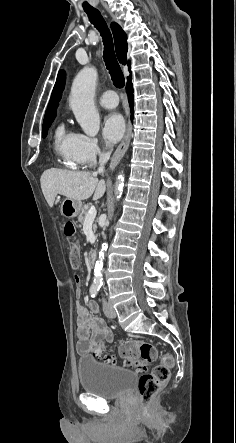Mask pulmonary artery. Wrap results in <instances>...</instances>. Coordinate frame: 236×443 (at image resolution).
<instances>
[{
  "mask_svg": "<svg viewBox=\"0 0 236 443\" xmlns=\"http://www.w3.org/2000/svg\"><path fill=\"white\" fill-rule=\"evenodd\" d=\"M99 103L105 108H115L118 105L116 93L112 90L105 91L99 97Z\"/></svg>",
  "mask_w": 236,
  "mask_h": 443,
  "instance_id": "obj_1",
  "label": "pulmonary artery"
}]
</instances>
